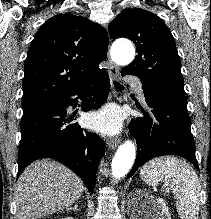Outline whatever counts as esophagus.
Segmentation results:
<instances>
[{"label":"esophagus","instance_id":"obj_1","mask_svg":"<svg viewBox=\"0 0 211 219\" xmlns=\"http://www.w3.org/2000/svg\"><path fill=\"white\" fill-rule=\"evenodd\" d=\"M109 61V75L112 79H117L119 76V69L118 67L110 60ZM120 143V139H109L107 140V146L110 150L116 148Z\"/></svg>","mask_w":211,"mask_h":219}]
</instances>
